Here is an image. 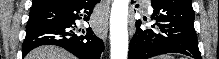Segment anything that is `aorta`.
I'll return each instance as SVG.
<instances>
[{"mask_svg": "<svg viewBox=\"0 0 219 59\" xmlns=\"http://www.w3.org/2000/svg\"><path fill=\"white\" fill-rule=\"evenodd\" d=\"M129 0H114L110 15L111 59H127Z\"/></svg>", "mask_w": 219, "mask_h": 59, "instance_id": "762f6f07", "label": "aorta"}]
</instances>
